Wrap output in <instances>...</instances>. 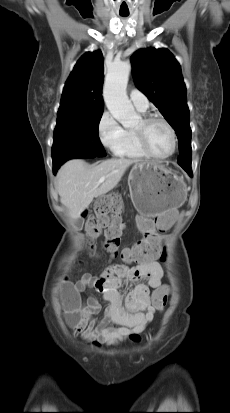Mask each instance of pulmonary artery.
Returning a JSON list of instances; mask_svg holds the SVG:
<instances>
[{
    "instance_id": "1",
    "label": "pulmonary artery",
    "mask_w": 230,
    "mask_h": 413,
    "mask_svg": "<svg viewBox=\"0 0 230 413\" xmlns=\"http://www.w3.org/2000/svg\"><path fill=\"white\" fill-rule=\"evenodd\" d=\"M129 96L136 109L140 111H146L148 109L149 101L141 91L132 89L129 93Z\"/></svg>"
}]
</instances>
